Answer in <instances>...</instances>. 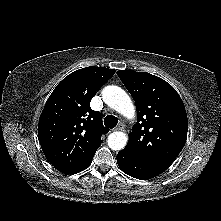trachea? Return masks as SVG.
<instances>
[{"instance_id":"obj_1","label":"trachea","mask_w":221,"mask_h":221,"mask_svg":"<svg viewBox=\"0 0 221 221\" xmlns=\"http://www.w3.org/2000/svg\"><path fill=\"white\" fill-rule=\"evenodd\" d=\"M117 124H118V119L113 115H107L104 119V125L107 128L112 129V128L116 127Z\"/></svg>"}]
</instances>
